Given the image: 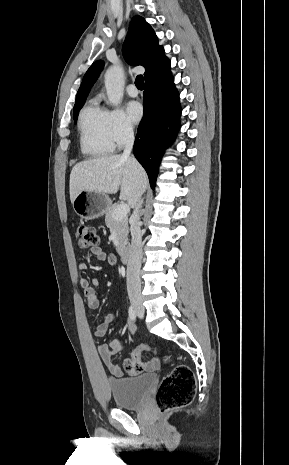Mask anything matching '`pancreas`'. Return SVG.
Here are the masks:
<instances>
[{"label": "pancreas", "mask_w": 289, "mask_h": 465, "mask_svg": "<svg viewBox=\"0 0 289 465\" xmlns=\"http://www.w3.org/2000/svg\"><path fill=\"white\" fill-rule=\"evenodd\" d=\"M119 204L111 205L105 215V224L111 231L116 233V239L118 242L117 251L121 252L128 244V219L127 216L121 220H115L113 213Z\"/></svg>", "instance_id": "cf45deb5"}]
</instances>
